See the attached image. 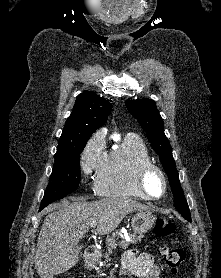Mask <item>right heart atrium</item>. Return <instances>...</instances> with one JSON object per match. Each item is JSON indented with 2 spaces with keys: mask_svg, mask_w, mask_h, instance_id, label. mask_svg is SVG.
Masks as SVG:
<instances>
[{
  "mask_svg": "<svg viewBox=\"0 0 221 278\" xmlns=\"http://www.w3.org/2000/svg\"><path fill=\"white\" fill-rule=\"evenodd\" d=\"M106 156L105 136L101 132L93 134L80 155V166L85 176L97 174Z\"/></svg>",
  "mask_w": 221,
  "mask_h": 278,
  "instance_id": "d8ad5b80",
  "label": "right heart atrium"
}]
</instances>
